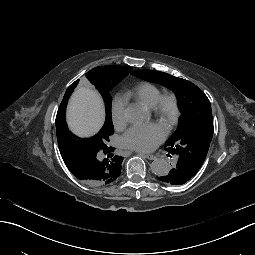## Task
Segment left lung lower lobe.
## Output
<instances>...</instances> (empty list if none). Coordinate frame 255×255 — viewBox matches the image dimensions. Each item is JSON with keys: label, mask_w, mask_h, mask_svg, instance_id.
<instances>
[{"label": "left lung lower lobe", "mask_w": 255, "mask_h": 255, "mask_svg": "<svg viewBox=\"0 0 255 255\" xmlns=\"http://www.w3.org/2000/svg\"><path fill=\"white\" fill-rule=\"evenodd\" d=\"M197 174L191 165H187L182 161H176L172 165V170L164 176L159 174L157 179L165 184L176 185L184 187L191 179H195Z\"/></svg>", "instance_id": "left-lung-lower-lobe-1"}]
</instances>
